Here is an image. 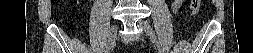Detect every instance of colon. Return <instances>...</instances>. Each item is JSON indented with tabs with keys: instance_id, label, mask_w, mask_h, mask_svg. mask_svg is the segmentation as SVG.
Segmentation results:
<instances>
[{
	"instance_id": "1",
	"label": "colon",
	"mask_w": 253,
	"mask_h": 53,
	"mask_svg": "<svg viewBox=\"0 0 253 53\" xmlns=\"http://www.w3.org/2000/svg\"><path fill=\"white\" fill-rule=\"evenodd\" d=\"M200 4H201V0H192L191 1V6L190 7H191L192 14L198 13L199 8H200ZM128 46L133 47V46H135V43L134 42H128Z\"/></svg>"
}]
</instances>
